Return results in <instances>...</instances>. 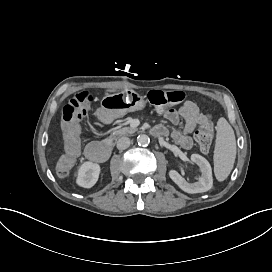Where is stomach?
<instances>
[{
  "label": "stomach",
  "mask_w": 272,
  "mask_h": 272,
  "mask_svg": "<svg viewBox=\"0 0 272 272\" xmlns=\"http://www.w3.org/2000/svg\"><path fill=\"white\" fill-rule=\"evenodd\" d=\"M145 105V99L131 89L115 94H107L101 100V107L116 118L122 117L128 112L142 110Z\"/></svg>",
  "instance_id": "obj_1"
}]
</instances>
